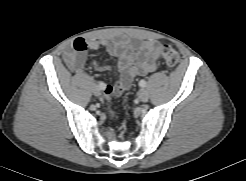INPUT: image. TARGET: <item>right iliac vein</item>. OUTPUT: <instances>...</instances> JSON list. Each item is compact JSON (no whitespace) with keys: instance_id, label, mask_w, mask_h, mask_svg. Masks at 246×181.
<instances>
[{"instance_id":"63e3f726","label":"right iliac vein","mask_w":246,"mask_h":181,"mask_svg":"<svg viewBox=\"0 0 246 181\" xmlns=\"http://www.w3.org/2000/svg\"><path fill=\"white\" fill-rule=\"evenodd\" d=\"M93 93H94L95 96H100L101 95V90L98 87H96V88H94Z\"/></svg>"}]
</instances>
